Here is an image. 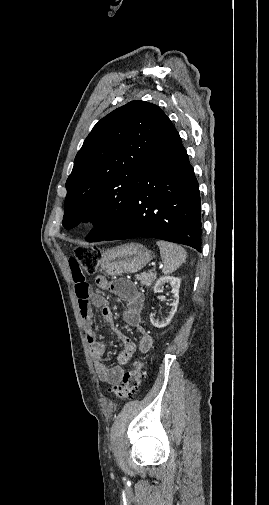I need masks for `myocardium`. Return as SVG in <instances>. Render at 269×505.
Wrapping results in <instances>:
<instances>
[{
  "label": "myocardium",
  "mask_w": 269,
  "mask_h": 505,
  "mask_svg": "<svg viewBox=\"0 0 269 505\" xmlns=\"http://www.w3.org/2000/svg\"><path fill=\"white\" fill-rule=\"evenodd\" d=\"M96 218L94 216H87L82 220V225L84 227H91L95 224Z\"/></svg>",
  "instance_id": "1"
}]
</instances>
